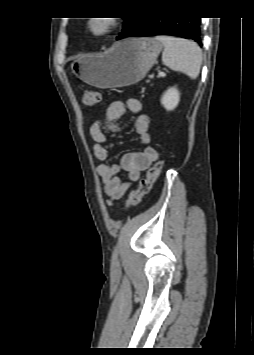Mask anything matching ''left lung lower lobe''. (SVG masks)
<instances>
[{
	"mask_svg": "<svg viewBox=\"0 0 254 355\" xmlns=\"http://www.w3.org/2000/svg\"><path fill=\"white\" fill-rule=\"evenodd\" d=\"M154 35H174L192 39L198 44L201 42L199 17H141L137 18L134 26L124 35L125 37H141Z\"/></svg>",
	"mask_w": 254,
	"mask_h": 355,
	"instance_id": "1",
	"label": "left lung lower lobe"
}]
</instances>
